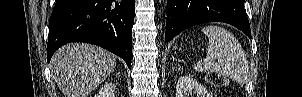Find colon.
<instances>
[{"mask_svg": "<svg viewBox=\"0 0 302 97\" xmlns=\"http://www.w3.org/2000/svg\"><path fill=\"white\" fill-rule=\"evenodd\" d=\"M206 79L210 84H213V85H222L225 82V80L222 76H220L219 74L214 73V72L208 73L206 76Z\"/></svg>", "mask_w": 302, "mask_h": 97, "instance_id": "obj_1", "label": "colon"}]
</instances>
